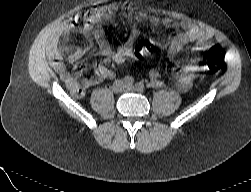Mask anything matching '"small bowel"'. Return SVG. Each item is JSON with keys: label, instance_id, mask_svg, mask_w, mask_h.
Listing matches in <instances>:
<instances>
[{"label": "small bowel", "instance_id": "small-bowel-1", "mask_svg": "<svg viewBox=\"0 0 251 192\" xmlns=\"http://www.w3.org/2000/svg\"><path fill=\"white\" fill-rule=\"evenodd\" d=\"M129 17L137 21H152L154 24L162 23L168 27H175L182 29L184 33L178 35L170 45L168 50V57L171 61L178 64L182 61V55L185 51V47L188 44H193L190 49V55L186 57L185 65L181 70L175 74V81L179 92H188L193 85V82L200 70L198 65L201 60L204 49L210 42V36L203 29L196 24L188 20H173L163 19L159 20L154 17H149L146 14L139 13L135 15H129ZM112 16L110 14H100L98 19H95L86 29V33L98 38L100 45V53L112 58L116 63H123L126 58L132 55V49L129 46H121L116 51H112L108 44L105 42L102 32L98 27V21H110ZM74 26L63 27L59 33L54 35L49 45V52L57 60L55 62V69L59 73L62 81L70 90L75 98H81L85 95L89 88L97 86L104 81L114 77V72L104 66L98 65L96 72L91 77H84L81 79L76 78L66 67L63 60L58 58L57 43L60 38L67 36ZM89 52L88 48H77L68 53L66 61L70 64H76L83 59ZM151 83L155 88H162L164 83L160 80V74L156 70H152L149 73Z\"/></svg>", "mask_w": 251, "mask_h": 192}]
</instances>
